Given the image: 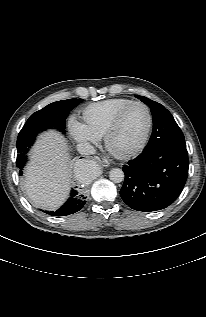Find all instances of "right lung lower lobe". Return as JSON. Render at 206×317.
I'll list each match as a JSON object with an SVG mask.
<instances>
[{"label": "right lung lower lobe", "instance_id": "98d812e1", "mask_svg": "<svg viewBox=\"0 0 206 317\" xmlns=\"http://www.w3.org/2000/svg\"><path fill=\"white\" fill-rule=\"evenodd\" d=\"M85 198L86 197L84 196V194L73 189L71 191V195L69 199L58 210L50 211V212L43 211V212L48 213L49 215H52V216L70 215L83 208V206L86 203Z\"/></svg>", "mask_w": 206, "mask_h": 317}]
</instances>
